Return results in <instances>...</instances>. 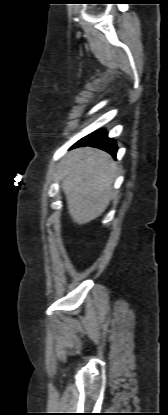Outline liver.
Wrapping results in <instances>:
<instances>
[{
    "mask_svg": "<svg viewBox=\"0 0 168 415\" xmlns=\"http://www.w3.org/2000/svg\"><path fill=\"white\" fill-rule=\"evenodd\" d=\"M117 165L99 149L78 148L62 160V189L73 222L83 225L99 217L113 194Z\"/></svg>",
    "mask_w": 168,
    "mask_h": 415,
    "instance_id": "1",
    "label": "liver"
}]
</instances>
